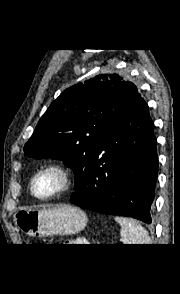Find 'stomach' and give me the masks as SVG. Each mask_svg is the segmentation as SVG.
Returning a JSON list of instances; mask_svg holds the SVG:
<instances>
[{"label": "stomach", "instance_id": "1", "mask_svg": "<svg viewBox=\"0 0 180 294\" xmlns=\"http://www.w3.org/2000/svg\"><path fill=\"white\" fill-rule=\"evenodd\" d=\"M15 225L30 237L73 235L87 223L80 208L61 205L44 209H21L14 216Z\"/></svg>", "mask_w": 180, "mask_h": 294}]
</instances>
